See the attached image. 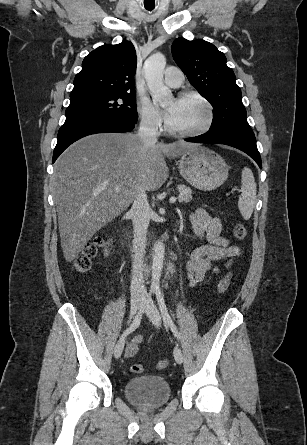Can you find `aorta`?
Masks as SVG:
<instances>
[{"label":"aorta","mask_w":307,"mask_h":445,"mask_svg":"<svg viewBox=\"0 0 307 445\" xmlns=\"http://www.w3.org/2000/svg\"><path fill=\"white\" fill-rule=\"evenodd\" d=\"M166 64V56L162 52H154L144 62V74L147 86L150 90L154 104L168 106L172 104V90L163 82V72ZM165 259L164 243L157 241L153 247L151 291L160 289V279Z\"/></svg>","instance_id":"762f6f07"}]
</instances>
